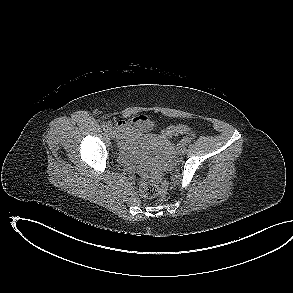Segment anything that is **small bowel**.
I'll list each match as a JSON object with an SVG mask.
<instances>
[{
	"label": "small bowel",
	"instance_id": "small-bowel-1",
	"mask_svg": "<svg viewBox=\"0 0 293 293\" xmlns=\"http://www.w3.org/2000/svg\"><path fill=\"white\" fill-rule=\"evenodd\" d=\"M148 119L145 116H137L133 118L130 122L119 121L116 124L117 130L120 134L121 139H125L130 135L134 128L142 127L147 124Z\"/></svg>",
	"mask_w": 293,
	"mask_h": 293
}]
</instances>
